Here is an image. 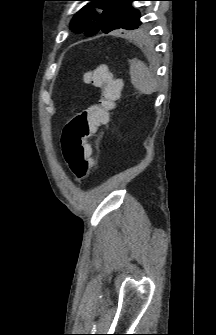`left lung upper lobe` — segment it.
Instances as JSON below:
<instances>
[{
  "label": "left lung upper lobe",
  "instance_id": "5c2ea615",
  "mask_svg": "<svg viewBox=\"0 0 216 335\" xmlns=\"http://www.w3.org/2000/svg\"><path fill=\"white\" fill-rule=\"evenodd\" d=\"M72 19L73 32L93 36L99 31L109 33L115 29L135 30L143 23L140 12L131 7L136 0H89Z\"/></svg>",
  "mask_w": 216,
  "mask_h": 335
}]
</instances>
